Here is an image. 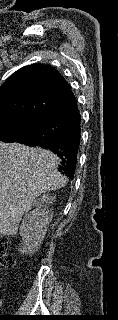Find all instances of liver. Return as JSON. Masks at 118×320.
<instances>
[{
  "instance_id": "liver-1",
  "label": "liver",
  "mask_w": 118,
  "mask_h": 320,
  "mask_svg": "<svg viewBox=\"0 0 118 320\" xmlns=\"http://www.w3.org/2000/svg\"><path fill=\"white\" fill-rule=\"evenodd\" d=\"M52 152L0 141V227H11L41 194L63 187Z\"/></svg>"
}]
</instances>
